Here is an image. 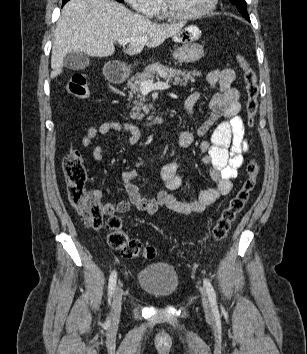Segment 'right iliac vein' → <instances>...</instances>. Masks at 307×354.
I'll return each instance as SVG.
<instances>
[{
  "label": "right iliac vein",
  "mask_w": 307,
  "mask_h": 354,
  "mask_svg": "<svg viewBox=\"0 0 307 354\" xmlns=\"http://www.w3.org/2000/svg\"><path fill=\"white\" fill-rule=\"evenodd\" d=\"M122 294L123 290L121 286H117L114 297H113V302H112V320L116 321L120 317L121 313V305H122Z\"/></svg>",
  "instance_id": "obj_1"
}]
</instances>
